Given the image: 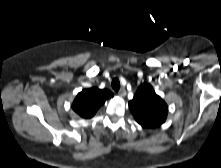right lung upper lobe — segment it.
<instances>
[{
    "mask_svg": "<svg viewBox=\"0 0 221 168\" xmlns=\"http://www.w3.org/2000/svg\"><path fill=\"white\" fill-rule=\"evenodd\" d=\"M113 97L112 92L107 89L93 87L84 89L76 96L73 101V110L82 118H91L104 102Z\"/></svg>",
    "mask_w": 221,
    "mask_h": 168,
    "instance_id": "1",
    "label": "right lung upper lobe"
}]
</instances>
